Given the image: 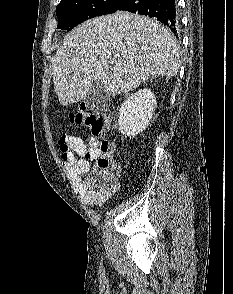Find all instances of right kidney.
<instances>
[{
    "label": "right kidney",
    "instance_id": "right-kidney-1",
    "mask_svg": "<svg viewBox=\"0 0 233 294\" xmlns=\"http://www.w3.org/2000/svg\"><path fill=\"white\" fill-rule=\"evenodd\" d=\"M156 106V97L150 89L130 95L119 109L118 130L126 136L140 134L147 128Z\"/></svg>",
    "mask_w": 233,
    "mask_h": 294
}]
</instances>
